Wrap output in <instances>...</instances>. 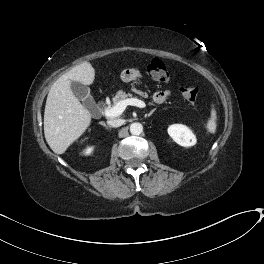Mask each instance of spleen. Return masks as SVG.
<instances>
[{
	"label": "spleen",
	"mask_w": 264,
	"mask_h": 264,
	"mask_svg": "<svg viewBox=\"0 0 264 264\" xmlns=\"http://www.w3.org/2000/svg\"><path fill=\"white\" fill-rule=\"evenodd\" d=\"M216 120H217L216 110L212 106L210 118H209V120L207 121V124H206V129L208 130V132L215 133L216 127H217Z\"/></svg>",
	"instance_id": "spleen-1"
}]
</instances>
